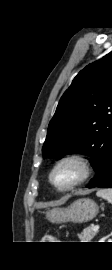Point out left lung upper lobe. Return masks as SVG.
Returning a JSON list of instances; mask_svg holds the SVG:
<instances>
[{
    "instance_id": "obj_1",
    "label": "left lung upper lobe",
    "mask_w": 112,
    "mask_h": 270,
    "mask_svg": "<svg viewBox=\"0 0 112 270\" xmlns=\"http://www.w3.org/2000/svg\"><path fill=\"white\" fill-rule=\"evenodd\" d=\"M111 149L112 51L74 78L49 123L42 152L44 158L85 153L98 175Z\"/></svg>"
}]
</instances>
